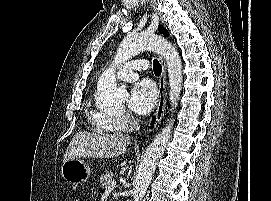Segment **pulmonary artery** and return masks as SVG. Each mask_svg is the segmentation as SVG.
Here are the masks:
<instances>
[{
	"label": "pulmonary artery",
	"instance_id": "obj_1",
	"mask_svg": "<svg viewBox=\"0 0 271 201\" xmlns=\"http://www.w3.org/2000/svg\"><path fill=\"white\" fill-rule=\"evenodd\" d=\"M147 69V64L141 60H132L124 63L117 72V77L123 81L131 82L139 78V72Z\"/></svg>",
	"mask_w": 271,
	"mask_h": 201
}]
</instances>
